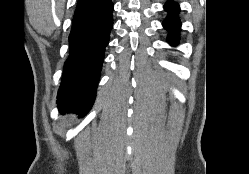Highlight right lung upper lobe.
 I'll return each instance as SVG.
<instances>
[{
	"mask_svg": "<svg viewBox=\"0 0 249 174\" xmlns=\"http://www.w3.org/2000/svg\"><path fill=\"white\" fill-rule=\"evenodd\" d=\"M92 1H94V0H78L77 7L83 6V5L88 4V3L92 2Z\"/></svg>",
	"mask_w": 249,
	"mask_h": 174,
	"instance_id": "right-lung-upper-lobe-1",
	"label": "right lung upper lobe"
}]
</instances>
